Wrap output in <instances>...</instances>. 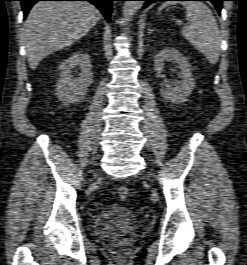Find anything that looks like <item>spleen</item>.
<instances>
[{
  "instance_id": "obj_1",
  "label": "spleen",
  "mask_w": 247,
  "mask_h": 265,
  "mask_svg": "<svg viewBox=\"0 0 247 265\" xmlns=\"http://www.w3.org/2000/svg\"><path fill=\"white\" fill-rule=\"evenodd\" d=\"M180 3L186 9L188 26L182 28V36L194 48L202 53L211 64H216L219 58L221 38L218 25L211 10L200 1L165 2L159 11Z\"/></svg>"
}]
</instances>
